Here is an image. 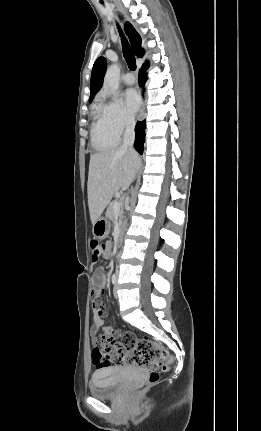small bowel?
Listing matches in <instances>:
<instances>
[{"mask_svg":"<svg viewBox=\"0 0 261 431\" xmlns=\"http://www.w3.org/2000/svg\"><path fill=\"white\" fill-rule=\"evenodd\" d=\"M92 283L94 285V289L92 291L91 295V306L92 310L94 312V325L91 327L90 337L93 338V341H95V338L97 337V334H99V331L101 328L105 331L106 335L113 336L117 334V330L114 328L106 327L104 325L103 318L106 316V313L103 311V296L104 291L103 289L106 286L107 283V277L104 273V270L102 268H96L93 276H92ZM96 360L93 356V361ZM111 362L117 363L113 360ZM120 364V363H117Z\"/></svg>","mask_w":261,"mask_h":431,"instance_id":"obj_1","label":"small bowel"}]
</instances>
